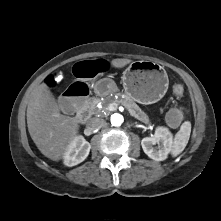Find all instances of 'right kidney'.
I'll return each instance as SVG.
<instances>
[{
    "mask_svg": "<svg viewBox=\"0 0 221 221\" xmlns=\"http://www.w3.org/2000/svg\"><path fill=\"white\" fill-rule=\"evenodd\" d=\"M90 149L91 145L84 137H75L64 153V164L72 167L83 162L89 155Z\"/></svg>",
    "mask_w": 221,
    "mask_h": 221,
    "instance_id": "right-kidney-1",
    "label": "right kidney"
}]
</instances>
